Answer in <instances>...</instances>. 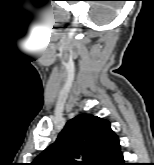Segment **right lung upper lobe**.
Here are the masks:
<instances>
[{
    "instance_id": "1",
    "label": "right lung upper lobe",
    "mask_w": 154,
    "mask_h": 165,
    "mask_svg": "<svg viewBox=\"0 0 154 165\" xmlns=\"http://www.w3.org/2000/svg\"><path fill=\"white\" fill-rule=\"evenodd\" d=\"M113 136L107 120L80 114L66 123L56 141L32 165H95Z\"/></svg>"
}]
</instances>
